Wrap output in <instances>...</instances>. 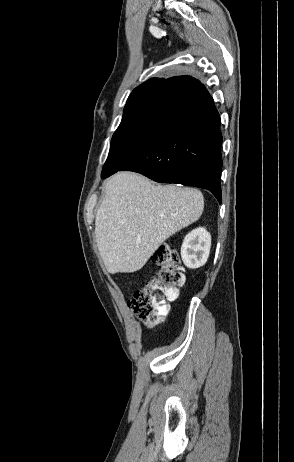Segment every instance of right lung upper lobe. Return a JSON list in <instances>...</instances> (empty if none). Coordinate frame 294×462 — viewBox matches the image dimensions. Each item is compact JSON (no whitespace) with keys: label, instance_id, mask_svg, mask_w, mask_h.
Segmentation results:
<instances>
[{"label":"right lung upper lobe","instance_id":"1","mask_svg":"<svg viewBox=\"0 0 294 462\" xmlns=\"http://www.w3.org/2000/svg\"><path fill=\"white\" fill-rule=\"evenodd\" d=\"M205 91L204 85L190 76H178L168 79L151 78L132 91L124 109L169 94H178L186 98L189 94L201 95Z\"/></svg>","mask_w":294,"mask_h":462}]
</instances>
